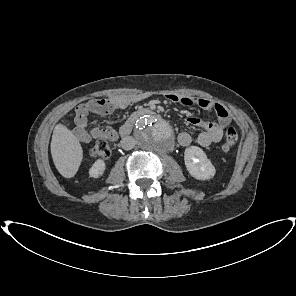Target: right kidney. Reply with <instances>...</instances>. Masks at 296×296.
I'll return each instance as SVG.
<instances>
[{
    "label": "right kidney",
    "instance_id": "1",
    "mask_svg": "<svg viewBox=\"0 0 296 296\" xmlns=\"http://www.w3.org/2000/svg\"><path fill=\"white\" fill-rule=\"evenodd\" d=\"M105 168L106 166L104 161L99 159L89 169V176L93 178H99L104 174Z\"/></svg>",
    "mask_w": 296,
    "mask_h": 296
}]
</instances>
